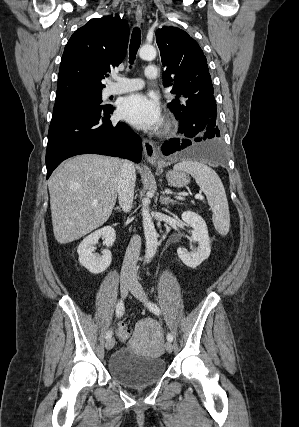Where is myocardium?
I'll return each mask as SVG.
<instances>
[{
	"label": "myocardium",
	"instance_id": "obj_1",
	"mask_svg": "<svg viewBox=\"0 0 299 427\" xmlns=\"http://www.w3.org/2000/svg\"><path fill=\"white\" fill-rule=\"evenodd\" d=\"M174 124L172 121L168 120L164 127H163V133H169L173 130Z\"/></svg>",
	"mask_w": 299,
	"mask_h": 427
}]
</instances>
